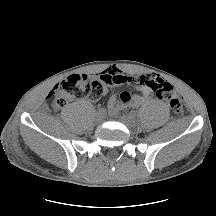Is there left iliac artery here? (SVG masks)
<instances>
[{
  "instance_id": "left-iliac-artery-1",
  "label": "left iliac artery",
  "mask_w": 216,
  "mask_h": 216,
  "mask_svg": "<svg viewBox=\"0 0 216 216\" xmlns=\"http://www.w3.org/2000/svg\"><path fill=\"white\" fill-rule=\"evenodd\" d=\"M130 115L133 116V117H135L136 113L135 112H131Z\"/></svg>"
}]
</instances>
